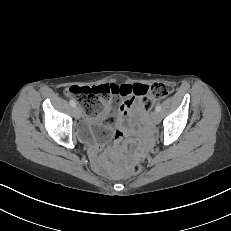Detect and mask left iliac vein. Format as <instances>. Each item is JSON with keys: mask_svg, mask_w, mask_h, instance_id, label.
I'll return each instance as SVG.
<instances>
[{"mask_svg": "<svg viewBox=\"0 0 231 231\" xmlns=\"http://www.w3.org/2000/svg\"><path fill=\"white\" fill-rule=\"evenodd\" d=\"M151 119H152V121H153L155 124L159 123V122H160V114H159V112H158V111H154V112L152 113V115H151Z\"/></svg>", "mask_w": 231, "mask_h": 231, "instance_id": "4c4485c4", "label": "left iliac vein"}]
</instances>
